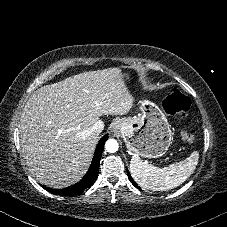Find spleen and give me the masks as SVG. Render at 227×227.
<instances>
[{"instance_id": "obj_1", "label": "spleen", "mask_w": 227, "mask_h": 227, "mask_svg": "<svg viewBox=\"0 0 227 227\" xmlns=\"http://www.w3.org/2000/svg\"><path fill=\"white\" fill-rule=\"evenodd\" d=\"M199 153L194 151L185 160L164 168L155 167L134 155L130 162V171L134 180L144 189L166 191L181 185L194 172L198 164Z\"/></svg>"}]
</instances>
